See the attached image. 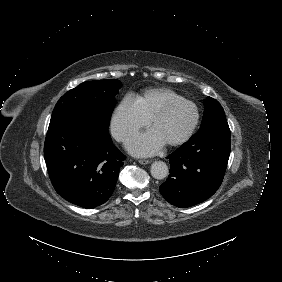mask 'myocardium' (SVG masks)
I'll use <instances>...</instances> for the list:
<instances>
[{"instance_id":"obj_1","label":"myocardium","mask_w":282,"mask_h":282,"mask_svg":"<svg viewBox=\"0 0 282 282\" xmlns=\"http://www.w3.org/2000/svg\"><path fill=\"white\" fill-rule=\"evenodd\" d=\"M178 107H189L192 110L193 117L189 127L183 133V135H181L179 138L173 141L166 142V144L171 147L182 145L183 143L187 142L191 138V136L193 135L194 131L198 126L200 119V112L198 107L189 100H185V99L171 100L166 108L155 112L150 119L151 126H154L157 120L162 118L169 111Z\"/></svg>"}]
</instances>
